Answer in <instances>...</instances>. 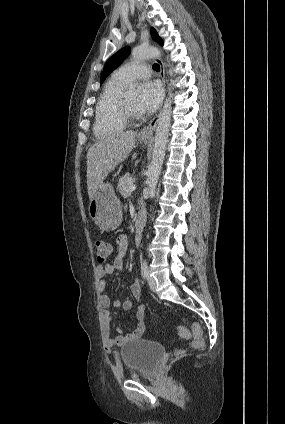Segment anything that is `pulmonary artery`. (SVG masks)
Listing matches in <instances>:
<instances>
[{
  "label": "pulmonary artery",
  "instance_id": "pulmonary-artery-1",
  "mask_svg": "<svg viewBox=\"0 0 285 424\" xmlns=\"http://www.w3.org/2000/svg\"><path fill=\"white\" fill-rule=\"evenodd\" d=\"M150 68L139 62H132L121 66L115 71V75L127 82L134 79H144L150 75Z\"/></svg>",
  "mask_w": 285,
  "mask_h": 424
}]
</instances>
